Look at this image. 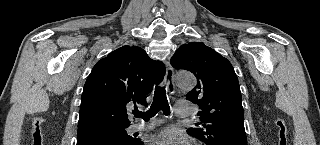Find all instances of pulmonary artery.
Wrapping results in <instances>:
<instances>
[{"mask_svg":"<svg viewBox=\"0 0 320 145\" xmlns=\"http://www.w3.org/2000/svg\"><path fill=\"white\" fill-rule=\"evenodd\" d=\"M174 110H175V114L178 117H187L191 114V106H190V103L187 101H177L175 103ZM159 123H160L159 120H152L148 123H135L129 127V130L131 132L143 131V130L153 128Z\"/></svg>","mask_w":320,"mask_h":145,"instance_id":"1","label":"pulmonary artery"}]
</instances>
